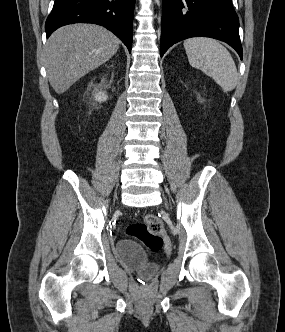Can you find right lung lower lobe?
Wrapping results in <instances>:
<instances>
[{
  "mask_svg": "<svg viewBox=\"0 0 285 332\" xmlns=\"http://www.w3.org/2000/svg\"><path fill=\"white\" fill-rule=\"evenodd\" d=\"M135 0H55L45 24L47 37L57 28L78 22L104 26L131 52Z\"/></svg>",
  "mask_w": 285,
  "mask_h": 332,
  "instance_id": "98d812e1",
  "label": "right lung lower lobe"
}]
</instances>
